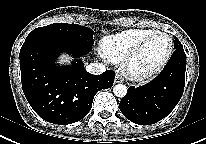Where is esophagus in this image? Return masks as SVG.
<instances>
[{
    "label": "esophagus",
    "mask_w": 206,
    "mask_h": 144,
    "mask_svg": "<svg viewBox=\"0 0 206 144\" xmlns=\"http://www.w3.org/2000/svg\"><path fill=\"white\" fill-rule=\"evenodd\" d=\"M114 82L115 83H122L123 82V78L120 75H116Z\"/></svg>",
    "instance_id": "34e87169"
}]
</instances>
